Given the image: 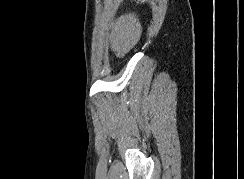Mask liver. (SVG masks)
<instances>
[{
	"instance_id": "liver-1",
	"label": "liver",
	"mask_w": 244,
	"mask_h": 179,
	"mask_svg": "<svg viewBox=\"0 0 244 179\" xmlns=\"http://www.w3.org/2000/svg\"><path fill=\"white\" fill-rule=\"evenodd\" d=\"M142 26L136 14H124L117 18L111 34V46L115 52L127 54L139 42Z\"/></svg>"
}]
</instances>
